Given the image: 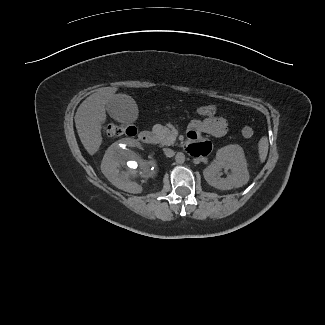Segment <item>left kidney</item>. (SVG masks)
Wrapping results in <instances>:
<instances>
[{
	"mask_svg": "<svg viewBox=\"0 0 325 325\" xmlns=\"http://www.w3.org/2000/svg\"><path fill=\"white\" fill-rule=\"evenodd\" d=\"M222 168L230 169L231 175L221 178ZM203 175L209 185L221 190H230L245 185L249 181V172L242 147L227 145L219 149L216 159L204 169Z\"/></svg>",
	"mask_w": 325,
	"mask_h": 325,
	"instance_id": "5707ae66",
	"label": "left kidney"
}]
</instances>
